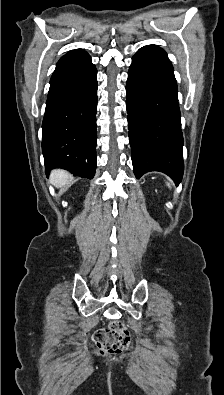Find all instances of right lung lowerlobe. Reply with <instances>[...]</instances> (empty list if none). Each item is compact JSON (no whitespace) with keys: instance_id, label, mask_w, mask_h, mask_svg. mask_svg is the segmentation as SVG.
<instances>
[{"instance_id":"98d812e1","label":"right lung lower lobe","mask_w":224,"mask_h":395,"mask_svg":"<svg viewBox=\"0 0 224 395\" xmlns=\"http://www.w3.org/2000/svg\"><path fill=\"white\" fill-rule=\"evenodd\" d=\"M97 70L82 50L64 55L50 80L42 124L45 170L92 179L96 170Z\"/></svg>"}]
</instances>
